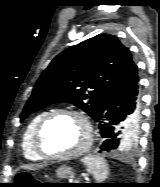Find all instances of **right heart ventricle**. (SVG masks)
Listing matches in <instances>:
<instances>
[{"instance_id": "obj_1", "label": "right heart ventricle", "mask_w": 160, "mask_h": 187, "mask_svg": "<svg viewBox=\"0 0 160 187\" xmlns=\"http://www.w3.org/2000/svg\"><path fill=\"white\" fill-rule=\"evenodd\" d=\"M48 111H41L34 115L32 119L27 124L23 135H22V141H21V149L23 156L31 161H39L42 160V156L36 151L35 145H34V134L37 125L42 120V118L48 114Z\"/></svg>"}]
</instances>
